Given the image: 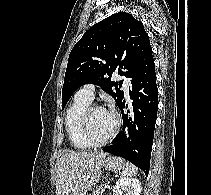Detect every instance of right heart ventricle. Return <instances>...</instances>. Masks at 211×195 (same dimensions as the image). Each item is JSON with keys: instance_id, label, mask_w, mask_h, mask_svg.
<instances>
[{"instance_id": "right-heart-ventricle-1", "label": "right heart ventricle", "mask_w": 211, "mask_h": 195, "mask_svg": "<svg viewBox=\"0 0 211 195\" xmlns=\"http://www.w3.org/2000/svg\"><path fill=\"white\" fill-rule=\"evenodd\" d=\"M91 104V100L75 95L65 116V128L71 145L77 150H85L91 146L83 139L80 133V118L84 110Z\"/></svg>"}]
</instances>
